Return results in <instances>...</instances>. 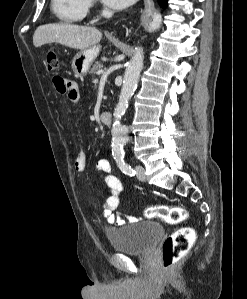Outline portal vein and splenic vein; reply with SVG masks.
Instances as JSON below:
<instances>
[{"mask_svg": "<svg viewBox=\"0 0 247 299\" xmlns=\"http://www.w3.org/2000/svg\"><path fill=\"white\" fill-rule=\"evenodd\" d=\"M97 74H98V75L103 74V70H99V71L97 72Z\"/></svg>", "mask_w": 247, "mask_h": 299, "instance_id": "obj_1", "label": "portal vein and splenic vein"}]
</instances>
